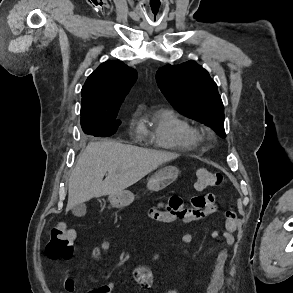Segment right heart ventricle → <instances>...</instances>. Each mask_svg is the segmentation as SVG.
Listing matches in <instances>:
<instances>
[{
    "label": "right heart ventricle",
    "mask_w": 293,
    "mask_h": 293,
    "mask_svg": "<svg viewBox=\"0 0 293 293\" xmlns=\"http://www.w3.org/2000/svg\"><path fill=\"white\" fill-rule=\"evenodd\" d=\"M140 129L155 146L163 149L190 150L199 142L196 128L171 109L157 111L149 124H142Z\"/></svg>",
    "instance_id": "obj_1"
}]
</instances>
